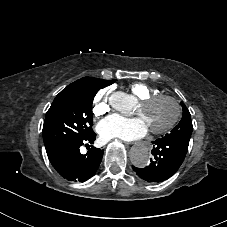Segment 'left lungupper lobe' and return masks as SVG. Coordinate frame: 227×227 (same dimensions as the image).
<instances>
[{"label":"left lung upper lobe","instance_id":"left-lung-upper-lobe-1","mask_svg":"<svg viewBox=\"0 0 227 227\" xmlns=\"http://www.w3.org/2000/svg\"><path fill=\"white\" fill-rule=\"evenodd\" d=\"M181 105L183 109L181 121L174 129L171 130L170 133L166 134L164 137L177 138L179 140L189 141L193 131L191 115L185 104L181 103Z\"/></svg>","mask_w":227,"mask_h":227}]
</instances>
